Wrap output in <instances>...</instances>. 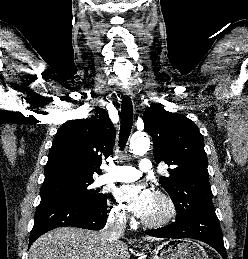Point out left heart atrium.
<instances>
[{
    "label": "left heart atrium",
    "mask_w": 248,
    "mask_h": 259,
    "mask_svg": "<svg viewBox=\"0 0 248 259\" xmlns=\"http://www.w3.org/2000/svg\"><path fill=\"white\" fill-rule=\"evenodd\" d=\"M115 196L138 217L146 215L154 198L152 191L144 185H123L115 190Z\"/></svg>",
    "instance_id": "1"
}]
</instances>
